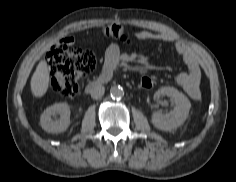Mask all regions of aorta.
Listing matches in <instances>:
<instances>
[{
  "label": "aorta",
  "instance_id": "1",
  "mask_svg": "<svg viewBox=\"0 0 236 182\" xmlns=\"http://www.w3.org/2000/svg\"><path fill=\"white\" fill-rule=\"evenodd\" d=\"M110 94L114 99H121L124 96V90L121 86H112L110 89Z\"/></svg>",
  "mask_w": 236,
  "mask_h": 182
}]
</instances>
